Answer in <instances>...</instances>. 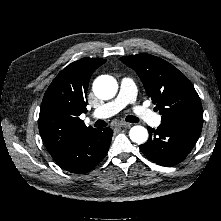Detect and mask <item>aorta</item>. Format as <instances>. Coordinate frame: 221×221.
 <instances>
[{
  "label": "aorta",
  "instance_id": "762f6f07",
  "mask_svg": "<svg viewBox=\"0 0 221 221\" xmlns=\"http://www.w3.org/2000/svg\"><path fill=\"white\" fill-rule=\"evenodd\" d=\"M118 89L116 80L109 75H102L95 79L93 83L94 94L102 100H108L115 96ZM130 139L137 143L143 144L148 139V131L145 127L136 125L129 131Z\"/></svg>",
  "mask_w": 221,
  "mask_h": 221
}]
</instances>
